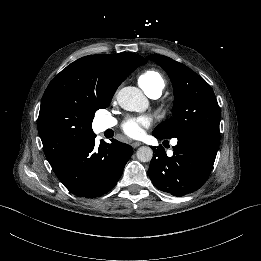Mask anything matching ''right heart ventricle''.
I'll return each mask as SVG.
<instances>
[{
  "label": "right heart ventricle",
  "mask_w": 261,
  "mask_h": 261,
  "mask_svg": "<svg viewBox=\"0 0 261 261\" xmlns=\"http://www.w3.org/2000/svg\"><path fill=\"white\" fill-rule=\"evenodd\" d=\"M138 83L146 95L156 91L162 93L166 85L164 76L155 69L144 71L139 76Z\"/></svg>",
  "instance_id": "1"
}]
</instances>
